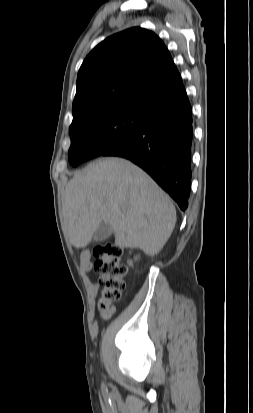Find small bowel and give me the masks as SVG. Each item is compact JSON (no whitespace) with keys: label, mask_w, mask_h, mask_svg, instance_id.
I'll list each match as a JSON object with an SVG mask.
<instances>
[{"label":"small bowel","mask_w":253,"mask_h":413,"mask_svg":"<svg viewBox=\"0 0 253 413\" xmlns=\"http://www.w3.org/2000/svg\"><path fill=\"white\" fill-rule=\"evenodd\" d=\"M79 265H80V268L84 272H89L92 269L91 256H90L89 251L85 250L81 253L80 258H79ZM114 311H115V308H111L107 310L106 312L103 313L102 318L104 319L110 318L112 314L114 313Z\"/></svg>","instance_id":"c3829d8e"}]
</instances>
